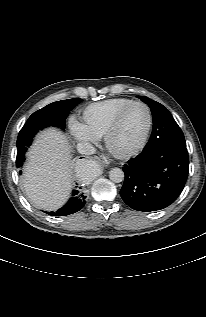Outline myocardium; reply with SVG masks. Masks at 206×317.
<instances>
[{
    "instance_id": "f54148a6",
    "label": "myocardium",
    "mask_w": 206,
    "mask_h": 317,
    "mask_svg": "<svg viewBox=\"0 0 206 317\" xmlns=\"http://www.w3.org/2000/svg\"><path fill=\"white\" fill-rule=\"evenodd\" d=\"M135 105H141L145 108L146 113H147V126L144 132V135L140 141V143L129 149V150H125V151H120L117 150L113 147L112 145V137L114 135V133L116 132V130L118 129L124 115L126 114V112L133 106ZM152 124H153V118H152V113L151 110L149 108V106L141 101H133L130 104L126 105L125 107H123L113 118L112 122L110 123L109 127L107 128L105 134H104V144L106 149L115 157L117 158H121V159H126V158H130L133 157L135 155H137L139 152H141L144 147L146 146L149 137H150V133H151V129H152Z\"/></svg>"
}]
</instances>
